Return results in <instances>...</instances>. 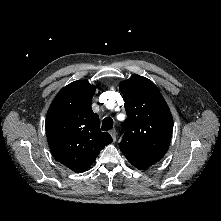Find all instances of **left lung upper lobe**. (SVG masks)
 <instances>
[{"instance_id":"obj_1","label":"left lung upper lobe","mask_w":221,"mask_h":221,"mask_svg":"<svg viewBox=\"0 0 221 221\" xmlns=\"http://www.w3.org/2000/svg\"><path fill=\"white\" fill-rule=\"evenodd\" d=\"M119 88L127 113L119 148L133 166L145 170L166 154L173 118L158 88L149 79L133 75Z\"/></svg>"}]
</instances>
